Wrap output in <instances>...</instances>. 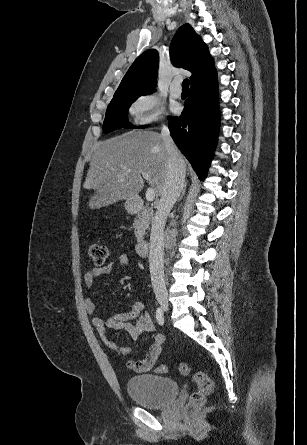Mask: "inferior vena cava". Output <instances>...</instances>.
<instances>
[{"label": "inferior vena cava", "instance_id": "1", "mask_svg": "<svg viewBox=\"0 0 307 445\" xmlns=\"http://www.w3.org/2000/svg\"><path fill=\"white\" fill-rule=\"evenodd\" d=\"M161 136L164 140L167 152L166 176L162 186L160 202L153 218L150 247H149V269L152 287L159 304H166L168 293L164 281V229L167 214L174 206L178 196L182 192L185 182V162L179 152L168 126L162 124Z\"/></svg>", "mask_w": 307, "mask_h": 445}]
</instances>
